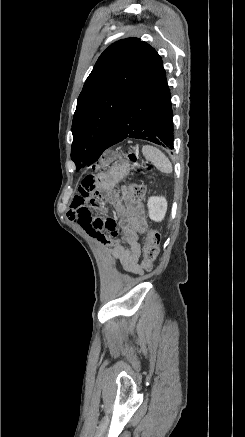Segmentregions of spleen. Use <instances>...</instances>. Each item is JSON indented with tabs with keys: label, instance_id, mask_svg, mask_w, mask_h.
<instances>
[{
	"label": "spleen",
	"instance_id": "3e777b00",
	"mask_svg": "<svg viewBox=\"0 0 245 437\" xmlns=\"http://www.w3.org/2000/svg\"><path fill=\"white\" fill-rule=\"evenodd\" d=\"M142 152L145 158L152 161L158 170L166 174L172 173V164L161 150L151 145H144Z\"/></svg>",
	"mask_w": 245,
	"mask_h": 437
}]
</instances>
